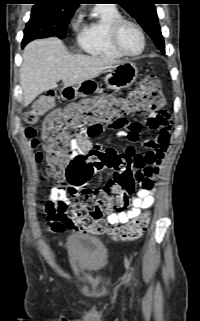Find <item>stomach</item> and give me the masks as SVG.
I'll return each instance as SVG.
<instances>
[{"instance_id":"1","label":"stomach","mask_w":200,"mask_h":321,"mask_svg":"<svg viewBox=\"0 0 200 321\" xmlns=\"http://www.w3.org/2000/svg\"><path fill=\"white\" fill-rule=\"evenodd\" d=\"M138 77V69L133 62H121L106 70L105 85L110 89H121L131 86ZM98 90L93 80H87L80 84L64 87L61 91L63 99H76L84 97Z\"/></svg>"}]
</instances>
